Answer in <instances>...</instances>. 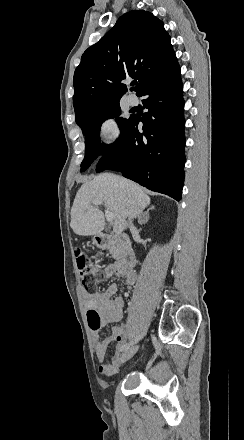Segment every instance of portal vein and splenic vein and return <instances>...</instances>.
<instances>
[{
    "label": "portal vein and splenic vein",
    "instance_id": "1",
    "mask_svg": "<svg viewBox=\"0 0 244 440\" xmlns=\"http://www.w3.org/2000/svg\"><path fill=\"white\" fill-rule=\"evenodd\" d=\"M93 204H94V206H101V204H103V202H100V200H95V202H93ZM105 216H106L107 222H110V224H113L114 216H113L112 212H106Z\"/></svg>",
    "mask_w": 244,
    "mask_h": 440
}]
</instances>
